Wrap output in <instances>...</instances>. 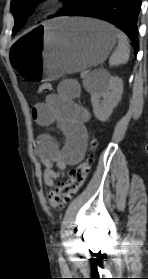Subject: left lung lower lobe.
Instances as JSON below:
<instances>
[{
  "label": "left lung lower lobe",
  "mask_w": 148,
  "mask_h": 279,
  "mask_svg": "<svg viewBox=\"0 0 148 279\" xmlns=\"http://www.w3.org/2000/svg\"><path fill=\"white\" fill-rule=\"evenodd\" d=\"M141 0H76L63 16H87L108 21L124 31L138 53L137 19Z\"/></svg>",
  "instance_id": "obj_1"
}]
</instances>
